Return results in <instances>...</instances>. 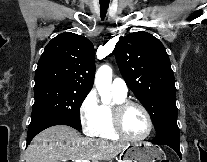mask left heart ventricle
Returning a JSON list of instances; mask_svg holds the SVG:
<instances>
[{
  "label": "left heart ventricle",
  "instance_id": "b2bd125f",
  "mask_svg": "<svg viewBox=\"0 0 207 162\" xmlns=\"http://www.w3.org/2000/svg\"><path fill=\"white\" fill-rule=\"evenodd\" d=\"M122 124L124 131L132 137H139L147 130L146 117L137 107H131L125 112Z\"/></svg>",
  "mask_w": 207,
  "mask_h": 162
}]
</instances>
